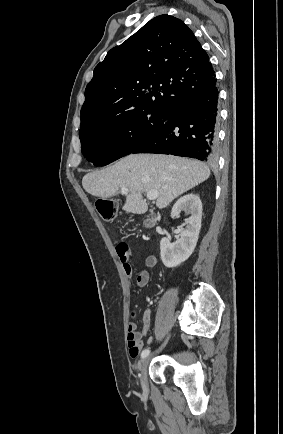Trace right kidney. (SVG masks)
<instances>
[{
    "instance_id": "1",
    "label": "right kidney",
    "mask_w": 283,
    "mask_h": 434,
    "mask_svg": "<svg viewBox=\"0 0 283 434\" xmlns=\"http://www.w3.org/2000/svg\"><path fill=\"white\" fill-rule=\"evenodd\" d=\"M181 211L190 215L185 219V228L181 231L176 242L171 243L170 238L164 237L160 241V254L163 264L174 268L186 261L193 253L201 228L202 203L195 194L181 197L171 210V217L178 218Z\"/></svg>"
}]
</instances>
